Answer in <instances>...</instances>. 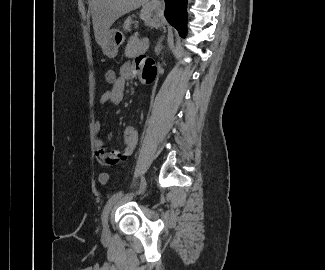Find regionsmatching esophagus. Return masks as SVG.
<instances>
[{
	"instance_id": "obj_1",
	"label": "esophagus",
	"mask_w": 325,
	"mask_h": 270,
	"mask_svg": "<svg viewBox=\"0 0 325 270\" xmlns=\"http://www.w3.org/2000/svg\"><path fill=\"white\" fill-rule=\"evenodd\" d=\"M151 5L154 6V7H158V8H163L164 7L163 0H152Z\"/></svg>"
}]
</instances>
